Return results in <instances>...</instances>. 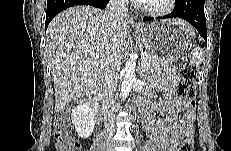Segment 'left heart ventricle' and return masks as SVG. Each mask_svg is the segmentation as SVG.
<instances>
[{
  "instance_id": "obj_1",
  "label": "left heart ventricle",
  "mask_w": 231,
  "mask_h": 151,
  "mask_svg": "<svg viewBox=\"0 0 231 151\" xmlns=\"http://www.w3.org/2000/svg\"><path fill=\"white\" fill-rule=\"evenodd\" d=\"M165 2L166 0H151L145 3L151 7L159 8V7H162L165 4Z\"/></svg>"
}]
</instances>
